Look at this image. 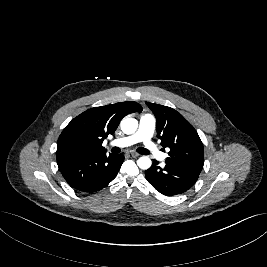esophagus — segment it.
Returning <instances> with one entry per match:
<instances>
[{
	"mask_svg": "<svg viewBox=\"0 0 267 267\" xmlns=\"http://www.w3.org/2000/svg\"><path fill=\"white\" fill-rule=\"evenodd\" d=\"M131 156L136 158V157H139L140 155L138 153H136V152H131Z\"/></svg>",
	"mask_w": 267,
	"mask_h": 267,
	"instance_id": "34e87169",
	"label": "esophagus"
}]
</instances>
